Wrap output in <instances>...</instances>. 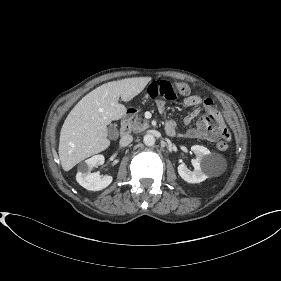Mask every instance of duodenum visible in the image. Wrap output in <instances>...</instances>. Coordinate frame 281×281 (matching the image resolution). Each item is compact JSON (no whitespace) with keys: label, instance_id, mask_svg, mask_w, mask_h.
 <instances>
[{"label":"duodenum","instance_id":"obj_1","mask_svg":"<svg viewBox=\"0 0 281 281\" xmlns=\"http://www.w3.org/2000/svg\"><path fill=\"white\" fill-rule=\"evenodd\" d=\"M135 115L134 110H129L122 118L119 133L121 136L126 135L130 130L131 121Z\"/></svg>","mask_w":281,"mask_h":281}]
</instances>
